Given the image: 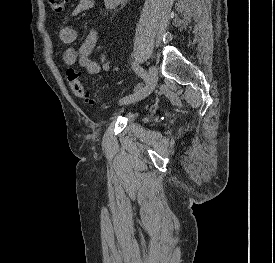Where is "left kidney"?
<instances>
[{"label": "left kidney", "mask_w": 275, "mask_h": 263, "mask_svg": "<svg viewBox=\"0 0 275 263\" xmlns=\"http://www.w3.org/2000/svg\"><path fill=\"white\" fill-rule=\"evenodd\" d=\"M127 0H104L107 9H114L120 4H124Z\"/></svg>", "instance_id": "1"}]
</instances>
